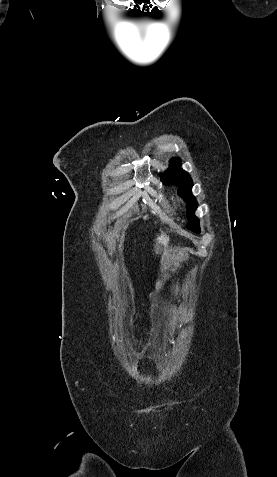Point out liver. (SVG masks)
<instances>
[{"label":"liver","instance_id":"liver-1","mask_svg":"<svg viewBox=\"0 0 277 477\" xmlns=\"http://www.w3.org/2000/svg\"><path fill=\"white\" fill-rule=\"evenodd\" d=\"M157 241L161 242L164 246H166L169 241V238L164 235H161L157 238Z\"/></svg>","mask_w":277,"mask_h":477}]
</instances>
